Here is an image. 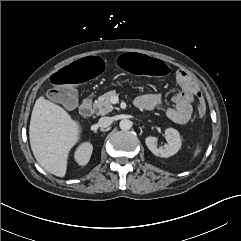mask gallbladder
I'll list each match as a JSON object with an SVG mask.
<instances>
[{"label": "gallbladder", "mask_w": 241, "mask_h": 241, "mask_svg": "<svg viewBox=\"0 0 241 241\" xmlns=\"http://www.w3.org/2000/svg\"><path fill=\"white\" fill-rule=\"evenodd\" d=\"M70 99L72 100V109L77 106V92L74 88L71 89Z\"/></svg>", "instance_id": "obj_1"}]
</instances>
